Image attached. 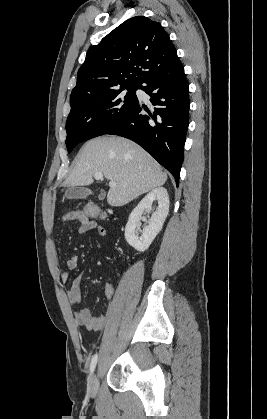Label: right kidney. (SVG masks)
<instances>
[{"mask_svg":"<svg viewBox=\"0 0 267 419\" xmlns=\"http://www.w3.org/2000/svg\"><path fill=\"white\" fill-rule=\"evenodd\" d=\"M154 201L158 202L157 210L152 214L149 225L139 236L140 218L145 209L150 208ZM169 212V196L167 190L158 187L149 192L131 212L125 227V239L130 246L139 252H144L151 245L157 234L162 230Z\"/></svg>","mask_w":267,"mask_h":419,"instance_id":"ca27d5eb","label":"right kidney"}]
</instances>
